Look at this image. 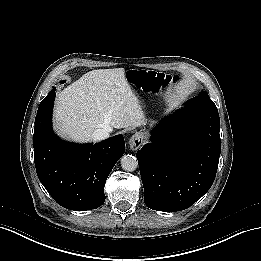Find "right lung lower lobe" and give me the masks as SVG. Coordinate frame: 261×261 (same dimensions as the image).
<instances>
[{"label":"right lung lower lobe","mask_w":261,"mask_h":261,"mask_svg":"<svg viewBox=\"0 0 261 261\" xmlns=\"http://www.w3.org/2000/svg\"><path fill=\"white\" fill-rule=\"evenodd\" d=\"M55 88L40 103L33 137L34 160L39 180L64 208L86 211L105 201L104 185L125 152L122 135L97 144H72L52 131Z\"/></svg>","instance_id":"98d812e1"}]
</instances>
